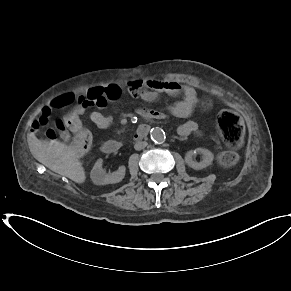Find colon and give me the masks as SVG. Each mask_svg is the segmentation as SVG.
<instances>
[{
	"instance_id": "colon-1",
	"label": "colon",
	"mask_w": 291,
	"mask_h": 291,
	"mask_svg": "<svg viewBox=\"0 0 291 291\" xmlns=\"http://www.w3.org/2000/svg\"><path fill=\"white\" fill-rule=\"evenodd\" d=\"M79 99L76 94L66 92L56 97L52 102H44V114L48 115L51 111L57 109L78 108ZM79 111H73L61 119L48 123L45 127L46 137L54 139L57 133L69 131L72 139L71 144L76 152L83 153L87 151L92 144L91 133L82 125L78 117ZM38 117L36 121L40 120ZM35 121V122H36ZM34 122V123H35ZM217 126L224 141L231 147L238 146L244 136V125L241 118L230 110H222L217 116ZM218 159L223 165H233L238 160L237 153L232 150L220 152Z\"/></svg>"
}]
</instances>
